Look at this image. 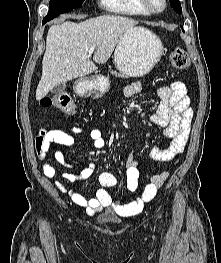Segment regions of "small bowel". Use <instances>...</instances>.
I'll use <instances>...</instances> for the list:
<instances>
[{"instance_id": "small-bowel-1", "label": "small bowel", "mask_w": 221, "mask_h": 263, "mask_svg": "<svg viewBox=\"0 0 221 263\" xmlns=\"http://www.w3.org/2000/svg\"><path fill=\"white\" fill-rule=\"evenodd\" d=\"M141 91L142 84L140 82H132L125 87L124 95L126 97H133ZM157 93L160 102L152 120L155 124L164 127V134L170 139V145L166 149L153 147L150 150V156L155 160H169L176 163L180 154L184 151L190 132L191 119L193 116L190 100L187 89L181 82H173L169 86H162L158 88ZM81 132H83L82 128L73 126L68 129L50 130L41 138L44 151L40 153L39 156L40 159L44 161L43 172L48 178L54 179L57 177L56 169L47 161L50 145L73 146L75 144V136ZM88 135L96 149L104 148L105 140L99 129L89 130ZM53 157L58 163L72 168L61 151H55ZM94 171L95 165L88 164L77 169L74 173H62L61 178L67 181L86 179L92 176ZM167 177V171L154 175L153 182L143 191L141 197H137L128 203H122L104 188L98 189L95 197L86 198L73 188L67 187L59 179H56L55 185L59 191L66 193L75 205L85 208L88 215L92 216L103 209H111L117 215L125 217L140 212L144 204L154 198L156 189L163 184ZM138 180V162L133 154H130L126 160L127 190L135 192L138 187ZM99 182L103 187H112L117 184L116 178L109 172L100 173Z\"/></svg>"}]
</instances>
